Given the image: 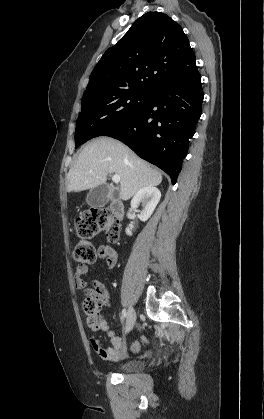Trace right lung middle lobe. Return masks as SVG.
<instances>
[{"label":"right lung middle lobe","instance_id":"1","mask_svg":"<svg viewBox=\"0 0 264 419\" xmlns=\"http://www.w3.org/2000/svg\"><path fill=\"white\" fill-rule=\"evenodd\" d=\"M150 92L134 88L84 96L81 114L76 124L75 148L103 135L133 115L147 102Z\"/></svg>","mask_w":264,"mask_h":419}]
</instances>
